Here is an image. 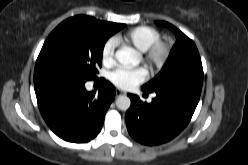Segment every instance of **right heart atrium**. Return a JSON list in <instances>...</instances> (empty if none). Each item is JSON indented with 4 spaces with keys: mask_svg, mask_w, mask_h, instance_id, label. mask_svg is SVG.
I'll list each match as a JSON object with an SVG mask.
<instances>
[{
    "mask_svg": "<svg viewBox=\"0 0 248 165\" xmlns=\"http://www.w3.org/2000/svg\"><path fill=\"white\" fill-rule=\"evenodd\" d=\"M116 41L109 39L102 48L101 59L105 66H111L115 60Z\"/></svg>",
    "mask_w": 248,
    "mask_h": 165,
    "instance_id": "right-heart-atrium-1",
    "label": "right heart atrium"
}]
</instances>
